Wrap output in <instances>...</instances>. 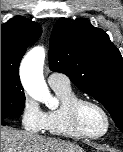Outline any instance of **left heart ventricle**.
<instances>
[{
	"label": "left heart ventricle",
	"mask_w": 123,
	"mask_h": 152,
	"mask_svg": "<svg viewBox=\"0 0 123 152\" xmlns=\"http://www.w3.org/2000/svg\"><path fill=\"white\" fill-rule=\"evenodd\" d=\"M80 123L90 134H100L106 127V120L99 109L92 105H85L80 112Z\"/></svg>",
	"instance_id": "obj_1"
}]
</instances>
